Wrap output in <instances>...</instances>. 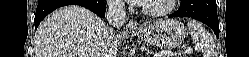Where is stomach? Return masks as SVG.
Masks as SVG:
<instances>
[{
  "label": "stomach",
  "mask_w": 249,
  "mask_h": 57,
  "mask_svg": "<svg viewBox=\"0 0 249 57\" xmlns=\"http://www.w3.org/2000/svg\"><path fill=\"white\" fill-rule=\"evenodd\" d=\"M185 34L186 28L176 19H160L134 33L145 43L169 49L178 46Z\"/></svg>",
  "instance_id": "stomach-1"
}]
</instances>
